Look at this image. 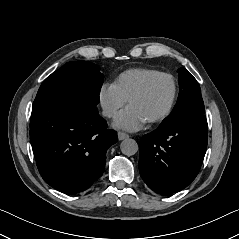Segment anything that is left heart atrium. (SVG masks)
<instances>
[{
	"mask_svg": "<svg viewBox=\"0 0 239 239\" xmlns=\"http://www.w3.org/2000/svg\"><path fill=\"white\" fill-rule=\"evenodd\" d=\"M146 120L131 106L126 107L115 119L114 126L127 131L141 129Z\"/></svg>",
	"mask_w": 239,
	"mask_h": 239,
	"instance_id": "1",
	"label": "left heart atrium"
}]
</instances>
